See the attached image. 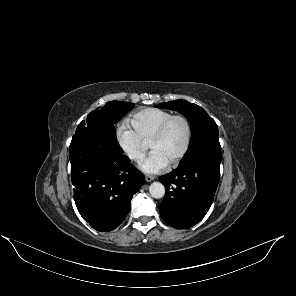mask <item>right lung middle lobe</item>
<instances>
[{"mask_svg": "<svg viewBox=\"0 0 296 296\" xmlns=\"http://www.w3.org/2000/svg\"><path fill=\"white\" fill-rule=\"evenodd\" d=\"M133 106L134 103L107 102L101 110H94L89 113L86 122L82 121L77 129H96L116 139L114 123L118 122Z\"/></svg>", "mask_w": 296, "mask_h": 296, "instance_id": "right-lung-middle-lobe-1", "label": "right lung middle lobe"}]
</instances>
